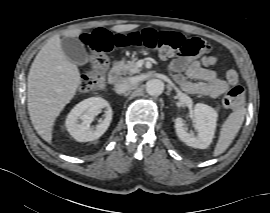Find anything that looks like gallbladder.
Wrapping results in <instances>:
<instances>
[{"label": "gallbladder", "mask_w": 270, "mask_h": 213, "mask_svg": "<svg viewBox=\"0 0 270 213\" xmlns=\"http://www.w3.org/2000/svg\"><path fill=\"white\" fill-rule=\"evenodd\" d=\"M61 47L67 59L77 65H84L89 60L84 44L75 37H62Z\"/></svg>", "instance_id": "1"}]
</instances>
